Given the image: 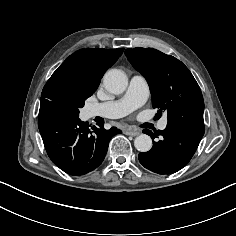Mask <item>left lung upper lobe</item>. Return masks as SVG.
Masks as SVG:
<instances>
[{"label": "left lung upper lobe", "mask_w": 236, "mask_h": 236, "mask_svg": "<svg viewBox=\"0 0 236 236\" xmlns=\"http://www.w3.org/2000/svg\"><path fill=\"white\" fill-rule=\"evenodd\" d=\"M125 54L133 67L147 79L157 114L167 112L168 120L185 114L203 115L204 100L200 87L181 61L150 48L127 49Z\"/></svg>", "instance_id": "left-lung-upper-lobe-1"}]
</instances>
